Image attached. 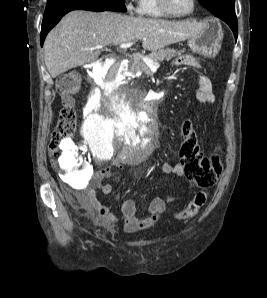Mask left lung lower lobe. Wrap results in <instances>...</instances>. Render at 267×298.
<instances>
[{"mask_svg":"<svg viewBox=\"0 0 267 298\" xmlns=\"http://www.w3.org/2000/svg\"><path fill=\"white\" fill-rule=\"evenodd\" d=\"M220 19H222L223 21H225L229 27L232 29L235 39H237V34H238V24H237V19H236V15L235 14H231V15H222L220 17Z\"/></svg>","mask_w":267,"mask_h":298,"instance_id":"1","label":"left lung lower lobe"}]
</instances>
